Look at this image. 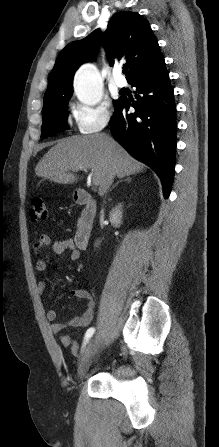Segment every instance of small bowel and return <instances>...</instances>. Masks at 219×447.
Returning <instances> with one entry per match:
<instances>
[{
    "label": "small bowel",
    "mask_w": 219,
    "mask_h": 447,
    "mask_svg": "<svg viewBox=\"0 0 219 447\" xmlns=\"http://www.w3.org/2000/svg\"><path fill=\"white\" fill-rule=\"evenodd\" d=\"M51 247L55 253H63L68 251L71 261H77L80 258V251L77 249L75 242L71 238H62L52 241L51 237L47 234H42L38 238L35 244L36 249ZM36 270L43 272L46 270L47 263L43 259H39L36 262ZM70 268V267H69ZM47 288V283L44 280L39 281L38 291L43 293ZM70 295L74 298L83 299L86 301L85 309L82 315L71 319L66 323L57 321V312L54 309H48L46 311V319L50 322V329L53 333H59L66 327L82 328L90 324L93 318L95 301L92 298L90 292L86 288H74L70 291ZM61 343L65 347H69L72 354L77 355L79 352V346L77 343L71 340L69 335H62L60 337Z\"/></svg>",
    "instance_id": "obj_1"
}]
</instances>
